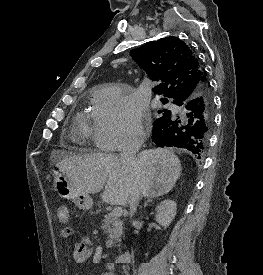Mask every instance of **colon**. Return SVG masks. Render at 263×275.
Listing matches in <instances>:
<instances>
[{"instance_id":"5ec220e1","label":"colon","mask_w":263,"mask_h":275,"mask_svg":"<svg viewBox=\"0 0 263 275\" xmlns=\"http://www.w3.org/2000/svg\"><path fill=\"white\" fill-rule=\"evenodd\" d=\"M57 219L61 223H67L70 218L69 209L67 206H60L57 209Z\"/></svg>"}]
</instances>
